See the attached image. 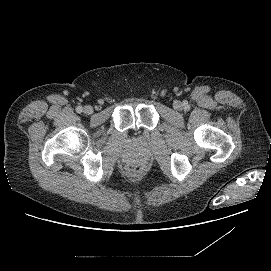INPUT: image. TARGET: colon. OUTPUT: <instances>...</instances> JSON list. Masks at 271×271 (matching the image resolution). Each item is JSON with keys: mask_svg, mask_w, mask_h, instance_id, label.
Instances as JSON below:
<instances>
[{"mask_svg": "<svg viewBox=\"0 0 271 271\" xmlns=\"http://www.w3.org/2000/svg\"><path fill=\"white\" fill-rule=\"evenodd\" d=\"M127 172L131 177H138L143 173V167L140 164L133 163L127 167Z\"/></svg>", "mask_w": 271, "mask_h": 271, "instance_id": "1", "label": "colon"}]
</instances>
